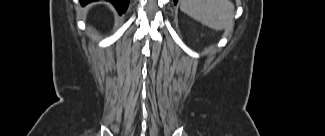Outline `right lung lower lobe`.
I'll use <instances>...</instances> for the list:
<instances>
[{
	"instance_id": "obj_1",
	"label": "right lung lower lobe",
	"mask_w": 325,
	"mask_h": 136,
	"mask_svg": "<svg viewBox=\"0 0 325 136\" xmlns=\"http://www.w3.org/2000/svg\"><path fill=\"white\" fill-rule=\"evenodd\" d=\"M91 1H95V0H81L82 4H86ZM107 1L111 2L114 5V7L117 9L120 15H122L126 11L129 4V0H107Z\"/></svg>"
}]
</instances>
